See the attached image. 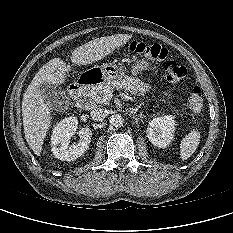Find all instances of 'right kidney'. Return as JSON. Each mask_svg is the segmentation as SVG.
I'll return each instance as SVG.
<instances>
[{
  "instance_id": "right-kidney-1",
  "label": "right kidney",
  "mask_w": 233,
  "mask_h": 233,
  "mask_svg": "<svg viewBox=\"0 0 233 233\" xmlns=\"http://www.w3.org/2000/svg\"><path fill=\"white\" fill-rule=\"evenodd\" d=\"M78 127L76 117H67L56 124L51 135V151L62 161H74L82 156L89 148L92 132L89 128L79 131V141L70 145V139Z\"/></svg>"
}]
</instances>
